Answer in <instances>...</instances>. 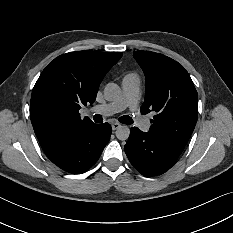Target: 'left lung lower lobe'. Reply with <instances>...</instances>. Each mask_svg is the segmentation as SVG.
<instances>
[{
    "label": "left lung lower lobe",
    "instance_id": "obj_1",
    "mask_svg": "<svg viewBox=\"0 0 233 233\" xmlns=\"http://www.w3.org/2000/svg\"><path fill=\"white\" fill-rule=\"evenodd\" d=\"M185 145L130 130L124 150L131 164L144 176L152 177L168 171L177 161Z\"/></svg>",
    "mask_w": 233,
    "mask_h": 233
}]
</instances>
